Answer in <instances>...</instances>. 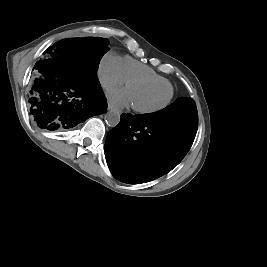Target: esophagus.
I'll return each instance as SVG.
<instances>
[{
  "label": "esophagus",
  "mask_w": 267,
  "mask_h": 267,
  "mask_svg": "<svg viewBox=\"0 0 267 267\" xmlns=\"http://www.w3.org/2000/svg\"><path fill=\"white\" fill-rule=\"evenodd\" d=\"M108 110L112 111V110H116V109L111 103H108Z\"/></svg>",
  "instance_id": "34e87169"
}]
</instances>
